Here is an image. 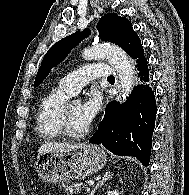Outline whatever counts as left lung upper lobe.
Masks as SVG:
<instances>
[{"label": "left lung upper lobe", "mask_w": 189, "mask_h": 195, "mask_svg": "<svg viewBox=\"0 0 189 195\" xmlns=\"http://www.w3.org/2000/svg\"><path fill=\"white\" fill-rule=\"evenodd\" d=\"M99 36L103 41L120 46L135 61L145 57L140 38L126 18L119 17L116 13H108L101 17L97 24ZM90 34L89 29L76 32L55 43L44 56L39 71L36 75L34 87H37L57 66L71 50Z\"/></svg>", "instance_id": "5c2ea615"}]
</instances>
